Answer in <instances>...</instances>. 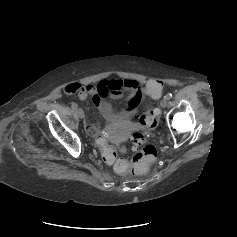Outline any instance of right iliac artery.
Wrapping results in <instances>:
<instances>
[{"mask_svg":"<svg viewBox=\"0 0 237 237\" xmlns=\"http://www.w3.org/2000/svg\"><path fill=\"white\" fill-rule=\"evenodd\" d=\"M71 107H72V109L75 110V109H77L78 105H77L76 103H72V104H71Z\"/></svg>","mask_w":237,"mask_h":237,"instance_id":"obj_1","label":"right iliac artery"}]
</instances>
